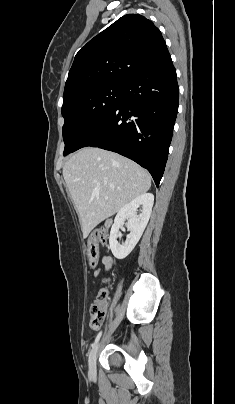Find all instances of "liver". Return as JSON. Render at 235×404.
Listing matches in <instances>:
<instances>
[{
  "label": "liver",
  "mask_w": 235,
  "mask_h": 404,
  "mask_svg": "<svg viewBox=\"0 0 235 404\" xmlns=\"http://www.w3.org/2000/svg\"><path fill=\"white\" fill-rule=\"evenodd\" d=\"M83 236L151 187L150 174L132 160L107 150L86 147L63 166Z\"/></svg>",
  "instance_id": "6515ba94"
}]
</instances>
